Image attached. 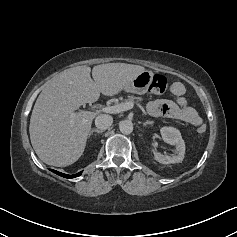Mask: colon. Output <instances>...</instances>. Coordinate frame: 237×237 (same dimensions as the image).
Listing matches in <instances>:
<instances>
[{
    "instance_id": "colon-1",
    "label": "colon",
    "mask_w": 237,
    "mask_h": 237,
    "mask_svg": "<svg viewBox=\"0 0 237 237\" xmlns=\"http://www.w3.org/2000/svg\"><path fill=\"white\" fill-rule=\"evenodd\" d=\"M168 87V81L165 76L161 74H154L152 77L149 91L154 94H163L166 92ZM206 125L200 124L197 128L198 133L204 134L206 132Z\"/></svg>"
}]
</instances>
